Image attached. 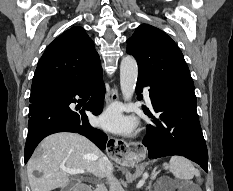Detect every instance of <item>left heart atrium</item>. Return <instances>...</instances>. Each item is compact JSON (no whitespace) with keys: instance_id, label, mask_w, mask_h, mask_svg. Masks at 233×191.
I'll use <instances>...</instances> for the list:
<instances>
[{"instance_id":"left-heart-atrium-1","label":"left heart atrium","mask_w":233,"mask_h":191,"mask_svg":"<svg viewBox=\"0 0 233 191\" xmlns=\"http://www.w3.org/2000/svg\"><path fill=\"white\" fill-rule=\"evenodd\" d=\"M96 124L108 131L123 134L134 128L135 121L132 118L125 117L120 108L112 107L96 119Z\"/></svg>"}]
</instances>
